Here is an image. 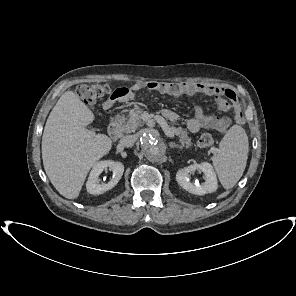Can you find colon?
I'll return each instance as SVG.
<instances>
[{
    "instance_id": "colon-1",
    "label": "colon",
    "mask_w": 296,
    "mask_h": 296,
    "mask_svg": "<svg viewBox=\"0 0 296 296\" xmlns=\"http://www.w3.org/2000/svg\"><path fill=\"white\" fill-rule=\"evenodd\" d=\"M126 92L125 88H119L112 91L107 84H84L79 86L77 94L80 99L89 107H93L99 100L111 94L122 96ZM198 143L201 147H209L214 143V135L208 132L201 134Z\"/></svg>"
}]
</instances>
